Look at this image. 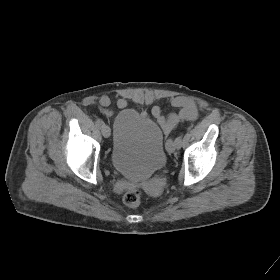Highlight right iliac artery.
Instances as JSON below:
<instances>
[{
    "label": "right iliac artery",
    "mask_w": 280,
    "mask_h": 280,
    "mask_svg": "<svg viewBox=\"0 0 280 280\" xmlns=\"http://www.w3.org/2000/svg\"><path fill=\"white\" fill-rule=\"evenodd\" d=\"M95 124L97 127H102L104 125V122L102 121V119H97L95 121Z\"/></svg>",
    "instance_id": "1"
}]
</instances>
